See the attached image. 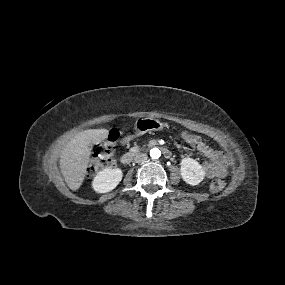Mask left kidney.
<instances>
[{
  "label": "left kidney",
  "mask_w": 285,
  "mask_h": 285,
  "mask_svg": "<svg viewBox=\"0 0 285 285\" xmlns=\"http://www.w3.org/2000/svg\"><path fill=\"white\" fill-rule=\"evenodd\" d=\"M181 177L190 185H198L205 176L203 167L192 158H184L181 160Z\"/></svg>",
  "instance_id": "5707ae66"
}]
</instances>
